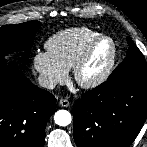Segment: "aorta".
I'll return each instance as SVG.
<instances>
[{
  "label": "aorta",
  "mask_w": 147,
  "mask_h": 147,
  "mask_svg": "<svg viewBox=\"0 0 147 147\" xmlns=\"http://www.w3.org/2000/svg\"><path fill=\"white\" fill-rule=\"evenodd\" d=\"M54 121L59 126H67L72 121V116L67 110H58L54 115Z\"/></svg>",
  "instance_id": "1"
}]
</instances>
